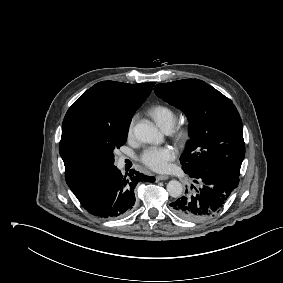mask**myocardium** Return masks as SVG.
<instances>
[{
	"mask_svg": "<svg viewBox=\"0 0 283 283\" xmlns=\"http://www.w3.org/2000/svg\"><path fill=\"white\" fill-rule=\"evenodd\" d=\"M174 136L178 142H183L188 137V129L185 126H179L175 132Z\"/></svg>",
	"mask_w": 283,
	"mask_h": 283,
	"instance_id": "f54148a6",
	"label": "myocardium"
}]
</instances>
